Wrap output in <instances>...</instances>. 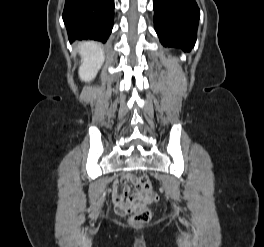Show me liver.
Instances as JSON below:
<instances>
[{
  "instance_id": "6515ba94",
  "label": "liver",
  "mask_w": 264,
  "mask_h": 247,
  "mask_svg": "<svg viewBox=\"0 0 264 247\" xmlns=\"http://www.w3.org/2000/svg\"><path fill=\"white\" fill-rule=\"evenodd\" d=\"M80 55L84 58L79 68L82 81H91L104 62V52L95 42H83L78 45Z\"/></svg>"
}]
</instances>
